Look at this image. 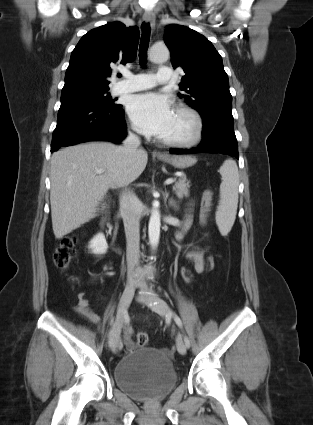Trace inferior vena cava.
Listing matches in <instances>:
<instances>
[{
    "label": "inferior vena cava",
    "instance_id": "602c4592",
    "mask_svg": "<svg viewBox=\"0 0 313 425\" xmlns=\"http://www.w3.org/2000/svg\"><path fill=\"white\" fill-rule=\"evenodd\" d=\"M141 141L137 135L129 132L123 141L120 151L133 157L139 151ZM140 201L133 192L125 191L120 197V211L123 218L127 249V280L130 284L141 281L139 274V244H140Z\"/></svg>",
    "mask_w": 313,
    "mask_h": 425
}]
</instances>
